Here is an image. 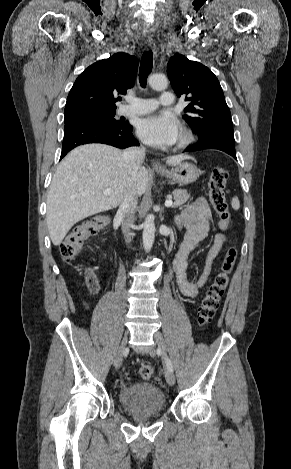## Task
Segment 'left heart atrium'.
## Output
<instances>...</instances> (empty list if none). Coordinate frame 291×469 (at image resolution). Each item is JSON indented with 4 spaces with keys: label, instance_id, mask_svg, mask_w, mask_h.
<instances>
[{
    "label": "left heart atrium",
    "instance_id": "39dd6f15",
    "mask_svg": "<svg viewBox=\"0 0 291 469\" xmlns=\"http://www.w3.org/2000/svg\"><path fill=\"white\" fill-rule=\"evenodd\" d=\"M137 134L149 145L165 147L178 139L179 124L168 114H152L139 121Z\"/></svg>",
    "mask_w": 291,
    "mask_h": 469
}]
</instances>
